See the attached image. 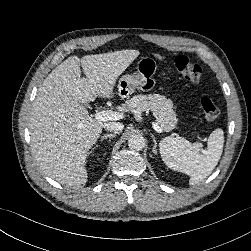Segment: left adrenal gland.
Masks as SVG:
<instances>
[{"instance_id": "1", "label": "left adrenal gland", "mask_w": 251, "mask_h": 251, "mask_svg": "<svg viewBox=\"0 0 251 251\" xmlns=\"http://www.w3.org/2000/svg\"><path fill=\"white\" fill-rule=\"evenodd\" d=\"M152 138H153V141H154V146H153V153L154 154H157V150H156V147H157V142H156V139L154 138V136H152Z\"/></svg>"}]
</instances>
